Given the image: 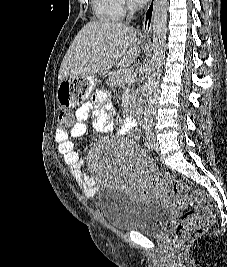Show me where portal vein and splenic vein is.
<instances>
[{"label":"portal vein and splenic vein","instance_id":"18ae733b","mask_svg":"<svg viewBox=\"0 0 227 267\" xmlns=\"http://www.w3.org/2000/svg\"><path fill=\"white\" fill-rule=\"evenodd\" d=\"M131 78H132V81H134L136 76L133 74Z\"/></svg>","mask_w":227,"mask_h":267}]
</instances>
